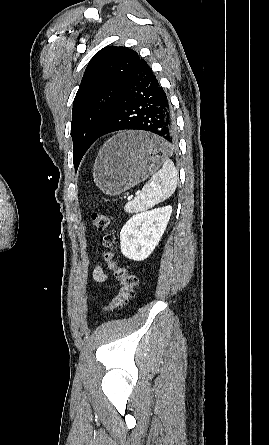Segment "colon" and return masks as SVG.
<instances>
[{
    "label": "colon",
    "mask_w": 269,
    "mask_h": 445,
    "mask_svg": "<svg viewBox=\"0 0 269 445\" xmlns=\"http://www.w3.org/2000/svg\"><path fill=\"white\" fill-rule=\"evenodd\" d=\"M91 218L93 226L97 231H105L110 227V218L105 214L96 212L92 214ZM105 248L103 254L104 261L119 284L118 292L110 303L104 307V311L107 312L114 309H121L126 305L133 298L138 281L127 266L118 264L113 250V244L110 240L106 241Z\"/></svg>",
    "instance_id": "obj_1"
}]
</instances>
